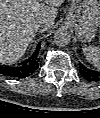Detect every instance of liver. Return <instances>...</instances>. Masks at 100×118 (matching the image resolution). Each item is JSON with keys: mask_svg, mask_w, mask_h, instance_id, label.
I'll use <instances>...</instances> for the list:
<instances>
[{"mask_svg": "<svg viewBox=\"0 0 100 118\" xmlns=\"http://www.w3.org/2000/svg\"><path fill=\"white\" fill-rule=\"evenodd\" d=\"M44 2V3H42ZM64 0H0V62L20 59L33 39L32 25H54L57 8Z\"/></svg>", "mask_w": 100, "mask_h": 118, "instance_id": "1", "label": "liver"}]
</instances>
